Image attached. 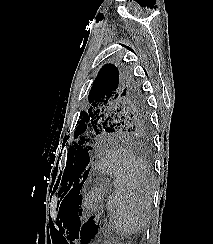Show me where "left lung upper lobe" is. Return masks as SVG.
I'll return each instance as SVG.
<instances>
[{
    "label": "left lung upper lobe",
    "instance_id": "1",
    "mask_svg": "<svg viewBox=\"0 0 213 244\" xmlns=\"http://www.w3.org/2000/svg\"><path fill=\"white\" fill-rule=\"evenodd\" d=\"M88 100L90 107L81 112L74 134L78 143L74 142L68 151L62 192L80 182L90 162V150L83 147L90 136L121 133L146 139L151 132L147 100L128 68L118 70L113 64L104 65L93 82Z\"/></svg>",
    "mask_w": 213,
    "mask_h": 244
}]
</instances>
